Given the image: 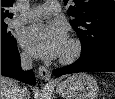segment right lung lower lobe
I'll return each mask as SVG.
<instances>
[{
    "instance_id": "obj_1",
    "label": "right lung lower lobe",
    "mask_w": 115,
    "mask_h": 99,
    "mask_svg": "<svg viewBox=\"0 0 115 99\" xmlns=\"http://www.w3.org/2000/svg\"><path fill=\"white\" fill-rule=\"evenodd\" d=\"M1 75L17 78L27 84H36L32 70L27 72L20 70V55L15 39L9 44H1Z\"/></svg>"
}]
</instances>
